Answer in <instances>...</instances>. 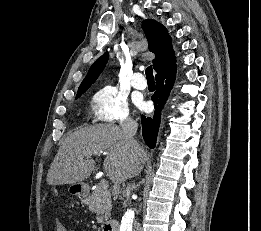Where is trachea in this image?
Instances as JSON below:
<instances>
[{"mask_svg":"<svg viewBox=\"0 0 261 231\" xmlns=\"http://www.w3.org/2000/svg\"><path fill=\"white\" fill-rule=\"evenodd\" d=\"M147 81H154L152 66L147 67L146 71Z\"/></svg>","mask_w":261,"mask_h":231,"instance_id":"trachea-1","label":"trachea"}]
</instances>
